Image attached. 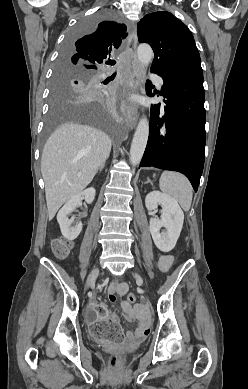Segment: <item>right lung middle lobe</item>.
I'll return each mask as SVG.
<instances>
[{
	"label": "right lung middle lobe",
	"instance_id": "right-lung-middle-lobe-1",
	"mask_svg": "<svg viewBox=\"0 0 248 389\" xmlns=\"http://www.w3.org/2000/svg\"><path fill=\"white\" fill-rule=\"evenodd\" d=\"M109 17L107 11H100L94 15L83 18L77 27L70 33L63 49V56L57 64L54 90L50 104L47 130L45 138L58 125L66 122L79 121L92 123L111 131V123L105 112L93 102H66L65 96H59L57 91L60 86L66 83L69 76H77L81 84L91 80L94 72L79 67H67L63 64L64 54L69 50L74 40L85 33L93 31L98 23ZM78 84L77 81L74 82Z\"/></svg>",
	"mask_w": 248,
	"mask_h": 389
}]
</instances>
